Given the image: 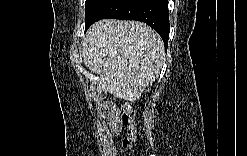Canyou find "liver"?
<instances>
[{"label":"liver","mask_w":247,"mask_h":156,"mask_svg":"<svg viewBox=\"0 0 247 156\" xmlns=\"http://www.w3.org/2000/svg\"><path fill=\"white\" fill-rule=\"evenodd\" d=\"M83 62L98 76L97 90L125 101L139 99L164 65V44L147 24L104 19L82 41Z\"/></svg>","instance_id":"1"}]
</instances>
